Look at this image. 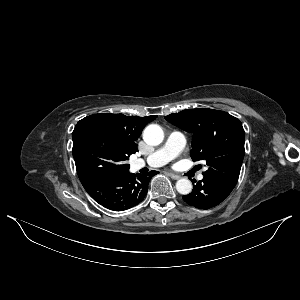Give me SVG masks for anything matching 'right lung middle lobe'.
<instances>
[{
	"label": "right lung middle lobe",
	"instance_id": "1",
	"mask_svg": "<svg viewBox=\"0 0 300 300\" xmlns=\"http://www.w3.org/2000/svg\"><path fill=\"white\" fill-rule=\"evenodd\" d=\"M73 157L81 182L103 176H120L129 171V154L91 117L80 120L72 133Z\"/></svg>",
	"mask_w": 300,
	"mask_h": 300
}]
</instances>
